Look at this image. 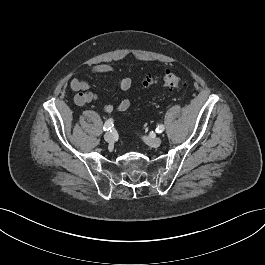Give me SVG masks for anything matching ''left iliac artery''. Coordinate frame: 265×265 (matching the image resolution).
Returning <instances> with one entry per match:
<instances>
[{
	"label": "left iliac artery",
	"mask_w": 265,
	"mask_h": 265,
	"mask_svg": "<svg viewBox=\"0 0 265 265\" xmlns=\"http://www.w3.org/2000/svg\"><path fill=\"white\" fill-rule=\"evenodd\" d=\"M164 129H165L164 125H158V127L156 128V132L162 133L164 131Z\"/></svg>",
	"instance_id": "44dca946"
}]
</instances>
